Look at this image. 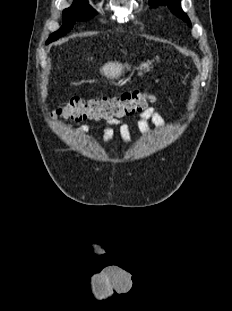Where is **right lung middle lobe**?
I'll list each match as a JSON object with an SVG mask.
<instances>
[{
    "label": "right lung middle lobe",
    "mask_w": 232,
    "mask_h": 311,
    "mask_svg": "<svg viewBox=\"0 0 232 311\" xmlns=\"http://www.w3.org/2000/svg\"><path fill=\"white\" fill-rule=\"evenodd\" d=\"M97 12L85 1L74 2L70 8L63 10V26L50 35L46 44H49L69 32L75 21H83L92 18Z\"/></svg>",
    "instance_id": "obj_1"
}]
</instances>
